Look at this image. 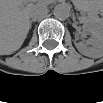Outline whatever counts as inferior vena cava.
Wrapping results in <instances>:
<instances>
[{"label": "inferior vena cava", "instance_id": "602c4592", "mask_svg": "<svg viewBox=\"0 0 103 103\" xmlns=\"http://www.w3.org/2000/svg\"><path fill=\"white\" fill-rule=\"evenodd\" d=\"M46 13V8L45 6H36L34 7L31 12H30V17L33 19V20H37L39 18H42L44 16V14Z\"/></svg>", "mask_w": 103, "mask_h": 103}]
</instances>
